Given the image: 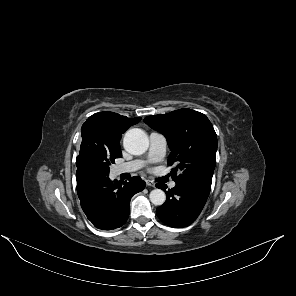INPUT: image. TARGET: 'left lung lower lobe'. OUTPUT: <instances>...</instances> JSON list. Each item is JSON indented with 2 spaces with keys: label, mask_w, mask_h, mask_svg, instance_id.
Returning <instances> with one entry per match:
<instances>
[{
  "label": "left lung lower lobe",
  "mask_w": 296,
  "mask_h": 296,
  "mask_svg": "<svg viewBox=\"0 0 296 296\" xmlns=\"http://www.w3.org/2000/svg\"><path fill=\"white\" fill-rule=\"evenodd\" d=\"M165 191V203L156 209L158 217L174 228L190 225L202 211L211 189V183L185 182L166 191L165 184L156 185Z\"/></svg>",
  "instance_id": "left-lung-lower-lobe-1"
}]
</instances>
